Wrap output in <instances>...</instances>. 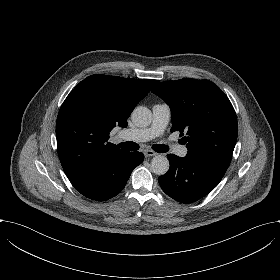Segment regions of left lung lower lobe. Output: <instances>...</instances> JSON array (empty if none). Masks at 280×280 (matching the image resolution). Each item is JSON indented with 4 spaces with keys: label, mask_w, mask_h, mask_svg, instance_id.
<instances>
[{
    "label": "left lung lower lobe",
    "mask_w": 280,
    "mask_h": 280,
    "mask_svg": "<svg viewBox=\"0 0 280 280\" xmlns=\"http://www.w3.org/2000/svg\"><path fill=\"white\" fill-rule=\"evenodd\" d=\"M170 168L158 178L161 188L181 203H191L206 196L221 181L229 165L190 155H167Z\"/></svg>",
    "instance_id": "obj_1"
}]
</instances>
